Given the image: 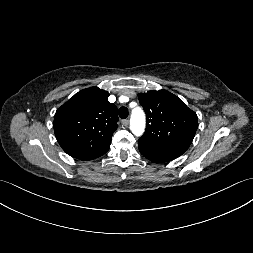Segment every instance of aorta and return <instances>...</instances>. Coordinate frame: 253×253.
<instances>
[{
  "mask_svg": "<svg viewBox=\"0 0 253 253\" xmlns=\"http://www.w3.org/2000/svg\"><path fill=\"white\" fill-rule=\"evenodd\" d=\"M130 129L135 136H141L145 130V114L141 108H134L131 114Z\"/></svg>",
  "mask_w": 253,
  "mask_h": 253,
  "instance_id": "aorta-1",
  "label": "aorta"
}]
</instances>
